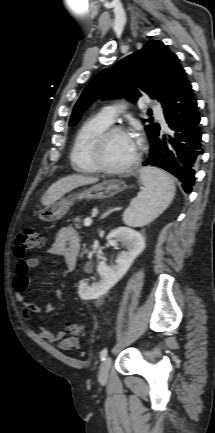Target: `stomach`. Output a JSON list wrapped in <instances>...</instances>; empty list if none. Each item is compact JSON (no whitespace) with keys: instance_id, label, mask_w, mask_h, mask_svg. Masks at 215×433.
<instances>
[{"instance_id":"0dacf381","label":"stomach","mask_w":215,"mask_h":433,"mask_svg":"<svg viewBox=\"0 0 215 433\" xmlns=\"http://www.w3.org/2000/svg\"><path fill=\"white\" fill-rule=\"evenodd\" d=\"M124 188V183L117 180H108L73 193L68 198H63L59 202L50 200L49 194L46 193L42 197V202L46 207L42 210L39 217L45 222L59 220L77 200L105 199L121 192Z\"/></svg>"}]
</instances>
